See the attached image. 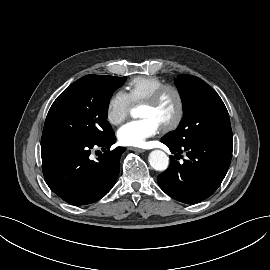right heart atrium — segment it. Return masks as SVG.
Listing matches in <instances>:
<instances>
[{
  "label": "right heart atrium",
  "instance_id": "d8ad5b80",
  "mask_svg": "<svg viewBox=\"0 0 270 270\" xmlns=\"http://www.w3.org/2000/svg\"><path fill=\"white\" fill-rule=\"evenodd\" d=\"M132 105L133 102L126 92L122 90L114 92L107 103L106 118L108 122L119 125L128 117Z\"/></svg>",
  "mask_w": 270,
  "mask_h": 270
}]
</instances>
